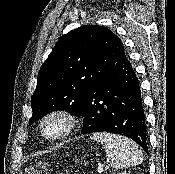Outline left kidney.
Listing matches in <instances>:
<instances>
[{
    "mask_svg": "<svg viewBox=\"0 0 175 174\" xmlns=\"http://www.w3.org/2000/svg\"><path fill=\"white\" fill-rule=\"evenodd\" d=\"M119 174H128V173H126V172H123V173H119Z\"/></svg>",
    "mask_w": 175,
    "mask_h": 174,
    "instance_id": "left-kidney-1",
    "label": "left kidney"
}]
</instances>
